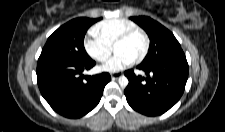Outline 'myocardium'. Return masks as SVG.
Returning a JSON list of instances; mask_svg holds the SVG:
<instances>
[{"label": "myocardium", "instance_id": "obj_1", "mask_svg": "<svg viewBox=\"0 0 225 132\" xmlns=\"http://www.w3.org/2000/svg\"><path fill=\"white\" fill-rule=\"evenodd\" d=\"M136 33H139L143 36V38L145 40V46H144V50L141 53V55L139 57H137L136 59L132 60V62L134 64L141 63L147 57L149 50H150V38L143 29H141L139 27H134V28L128 29L124 33H122L113 44V49L115 51L117 46H119L120 44L127 41L131 36H133Z\"/></svg>", "mask_w": 225, "mask_h": 132}]
</instances>
